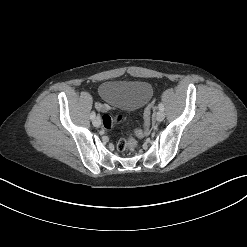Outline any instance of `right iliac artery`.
<instances>
[{"mask_svg":"<svg viewBox=\"0 0 247 247\" xmlns=\"http://www.w3.org/2000/svg\"><path fill=\"white\" fill-rule=\"evenodd\" d=\"M95 115H96V114H95V111H92V113L90 114V119L93 120V119L95 118Z\"/></svg>","mask_w":247,"mask_h":247,"instance_id":"right-iliac-artery-1","label":"right iliac artery"}]
</instances>
